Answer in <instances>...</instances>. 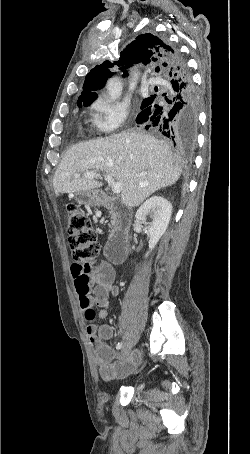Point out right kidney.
<instances>
[{"label":"right kidney","mask_w":250,"mask_h":454,"mask_svg":"<svg viewBox=\"0 0 250 454\" xmlns=\"http://www.w3.org/2000/svg\"><path fill=\"white\" fill-rule=\"evenodd\" d=\"M172 214L171 203L161 196H152L146 200L136 212V220L147 226L149 232V249L156 246L159 239L165 233ZM152 218L151 222H146L147 217ZM146 253V257L148 254Z\"/></svg>","instance_id":"right-kidney-1"}]
</instances>
